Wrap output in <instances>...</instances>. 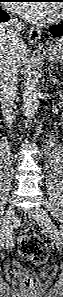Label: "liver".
<instances>
[{"instance_id":"6515ba94","label":"liver","mask_w":63,"mask_h":297,"mask_svg":"<svg viewBox=\"0 0 63 297\" xmlns=\"http://www.w3.org/2000/svg\"><path fill=\"white\" fill-rule=\"evenodd\" d=\"M9 39L8 37L2 36L1 30H0V57L2 55H6L8 52L9 48ZM28 56V49L26 47V44L23 43L22 41L16 46V60H17V65L21 66L23 65Z\"/></svg>"}]
</instances>
